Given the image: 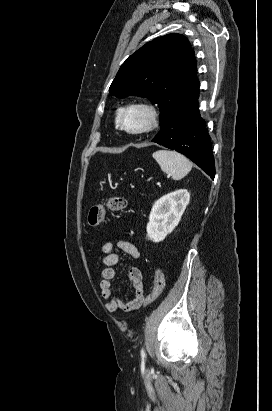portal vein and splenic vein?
<instances>
[{
    "label": "portal vein and splenic vein",
    "instance_id": "18ae733b",
    "mask_svg": "<svg viewBox=\"0 0 272 411\" xmlns=\"http://www.w3.org/2000/svg\"><path fill=\"white\" fill-rule=\"evenodd\" d=\"M157 185H158V186H160V185H161V183H160V182H157Z\"/></svg>",
    "mask_w": 272,
    "mask_h": 411
}]
</instances>
